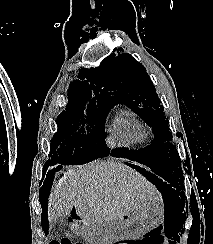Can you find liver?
Masks as SVG:
<instances>
[{
	"instance_id": "1",
	"label": "liver",
	"mask_w": 213,
	"mask_h": 244,
	"mask_svg": "<svg viewBox=\"0 0 213 244\" xmlns=\"http://www.w3.org/2000/svg\"><path fill=\"white\" fill-rule=\"evenodd\" d=\"M159 198L157 191L139 172L120 162L95 161L74 166L58 176L48 198L50 221L77 215L99 231L111 233L114 222L143 202Z\"/></svg>"
}]
</instances>
